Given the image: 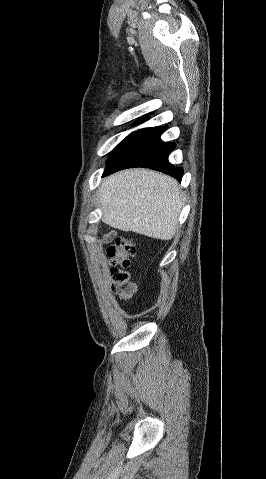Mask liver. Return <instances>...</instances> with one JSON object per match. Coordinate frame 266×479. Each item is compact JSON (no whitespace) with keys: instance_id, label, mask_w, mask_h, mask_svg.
I'll return each instance as SVG.
<instances>
[{"instance_id":"6515ba94","label":"liver","mask_w":266,"mask_h":479,"mask_svg":"<svg viewBox=\"0 0 266 479\" xmlns=\"http://www.w3.org/2000/svg\"><path fill=\"white\" fill-rule=\"evenodd\" d=\"M99 203L102 221L110 227L169 240L176 233L183 199L172 177L148 169H128L102 181Z\"/></svg>"}]
</instances>
